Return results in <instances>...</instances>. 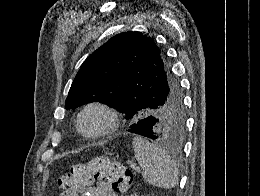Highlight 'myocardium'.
<instances>
[{"label": "myocardium", "instance_id": "myocardium-1", "mask_svg": "<svg viewBox=\"0 0 260 196\" xmlns=\"http://www.w3.org/2000/svg\"><path fill=\"white\" fill-rule=\"evenodd\" d=\"M91 109H100L106 113L108 116L107 124L97 132L88 133L85 132L81 126V119L84 114ZM119 125V115L118 112L110 105L104 102H90L86 104L78 113L76 122V131L88 141H100L111 134Z\"/></svg>", "mask_w": 260, "mask_h": 196}]
</instances>
